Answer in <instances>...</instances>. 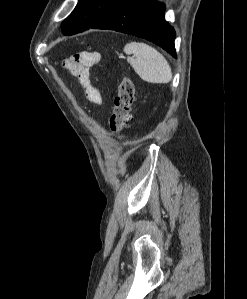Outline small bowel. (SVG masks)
Segmentation results:
<instances>
[{
  "mask_svg": "<svg viewBox=\"0 0 247 299\" xmlns=\"http://www.w3.org/2000/svg\"><path fill=\"white\" fill-rule=\"evenodd\" d=\"M100 60L101 57L96 52H81L65 62V66L78 77L87 99L96 105L101 104L102 98L90 81V68L97 65Z\"/></svg>",
  "mask_w": 247,
  "mask_h": 299,
  "instance_id": "obj_1",
  "label": "small bowel"
}]
</instances>
